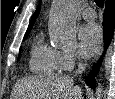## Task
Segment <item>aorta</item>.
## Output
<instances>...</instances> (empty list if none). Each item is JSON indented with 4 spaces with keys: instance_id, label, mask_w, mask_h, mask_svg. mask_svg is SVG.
Instances as JSON below:
<instances>
[{
    "instance_id": "762f6f07",
    "label": "aorta",
    "mask_w": 115,
    "mask_h": 99,
    "mask_svg": "<svg viewBox=\"0 0 115 99\" xmlns=\"http://www.w3.org/2000/svg\"><path fill=\"white\" fill-rule=\"evenodd\" d=\"M81 6L79 0H54L49 19L51 40L59 47H72L76 42V18ZM103 87L98 83L96 97L101 99Z\"/></svg>"
}]
</instances>
